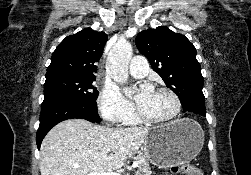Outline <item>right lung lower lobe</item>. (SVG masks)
I'll use <instances>...</instances> for the list:
<instances>
[{"instance_id": "1", "label": "right lung lower lobe", "mask_w": 251, "mask_h": 175, "mask_svg": "<svg viewBox=\"0 0 251 175\" xmlns=\"http://www.w3.org/2000/svg\"><path fill=\"white\" fill-rule=\"evenodd\" d=\"M73 118H82L90 122H99L96 100L86 102L76 98L51 94L44 98L41 105L40 125L37 131V147L40 149L45 135L56 124Z\"/></svg>"}]
</instances>
